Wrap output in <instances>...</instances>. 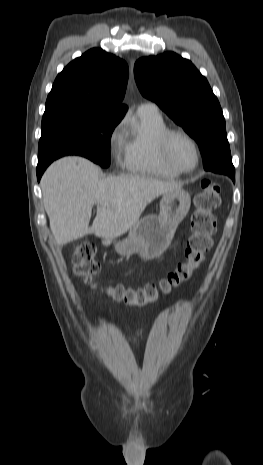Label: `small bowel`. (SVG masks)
<instances>
[{"label":"small bowel","instance_id":"c3829d8e","mask_svg":"<svg viewBox=\"0 0 263 465\" xmlns=\"http://www.w3.org/2000/svg\"><path fill=\"white\" fill-rule=\"evenodd\" d=\"M140 333H141V332H140V331H138L136 335H139ZM134 339H135V336H134V337H132V340H134Z\"/></svg>","mask_w":263,"mask_h":465}]
</instances>
